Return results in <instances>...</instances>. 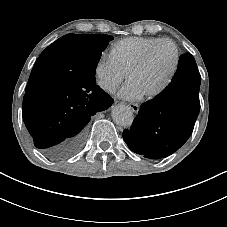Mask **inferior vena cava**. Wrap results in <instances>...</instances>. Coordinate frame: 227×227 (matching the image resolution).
<instances>
[{
	"label": "inferior vena cava",
	"instance_id": "1",
	"mask_svg": "<svg viewBox=\"0 0 227 227\" xmlns=\"http://www.w3.org/2000/svg\"><path fill=\"white\" fill-rule=\"evenodd\" d=\"M106 89L110 92V93H115L116 92V86L113 83H110L107 85Z\"/></svg>",
	"mask_w": 227,
	"mask_h": 227
}]
</instances>
